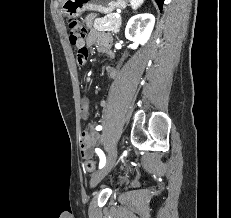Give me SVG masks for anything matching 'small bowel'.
<instances>
[{"instance_id":"small-bowel-1","label":"small bowel","mask_w":231,"mask_h":218,"mask_svg":"<svg viewBox=\"0 0 231 218\" xmlns=\"http://www.w3.org/2000/svg\"><path fill=\"white\" fill-rule=\"evenodd\" d=\"M94 15H89L86 18V23L88 26L92 24ZM78 50L81 48L97 46L99 51L106 53L109 57H114V53L110 50V38L103 33H100L95 30H91L86 40L79 42L75 45ZM77 65H88V58H77ZM107 71L111 78L116 77V70L114 67L108 66ZM101 107L107 106V100H102L100 103ZM82 114L86 118L90 113L89 99L84 97L82 99ZM99 141V137L96 135L89 136L87 133H83L80 138V152L81 155L85 158H88L92 155L95 144Z\"/></svg>"}]
</instances>
